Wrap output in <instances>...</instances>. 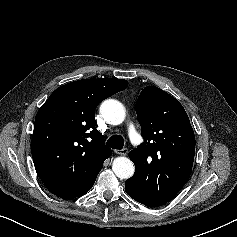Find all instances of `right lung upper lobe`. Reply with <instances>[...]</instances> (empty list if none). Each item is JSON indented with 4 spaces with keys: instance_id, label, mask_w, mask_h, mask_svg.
Masks as SVG:
<instances>
[{
    "instance_id": "right-lung-upper-lobe-1",
    "label": "right lung upper lobe",
    "mask_w": 237,
    "mask_h": 237,
    "mask_svg": "<svg viewBox=\"0 0 237 237\" xmlns=\"http://www.w3.org/2000/svg\"><path fill=\"white\" fill-rule=\"evenodd\" d=\"M123 79H83L57 88L39 109L31 152L37 174L56 196L75 198L93 186L112 155L94 120L97 105L124 90Z\"/></svg>"
}]
</instances>
